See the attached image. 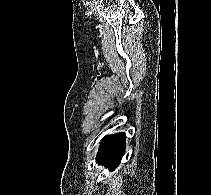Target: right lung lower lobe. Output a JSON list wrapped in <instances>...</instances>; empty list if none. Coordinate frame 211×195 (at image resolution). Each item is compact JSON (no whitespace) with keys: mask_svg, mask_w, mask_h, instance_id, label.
I'll use <instances>...</instances> for the list:
<instances>
[{"mask_svg":"<svg viewBox=\"0 0 211 195\" xmlns=\"http://www.w3.org/2000/svg\"><path fill=\"white\" fill-rule=\"evenodd\" d=\"M125 133H117L105 137L100 145L97 153L96 162L99 165L109 167L114 170L120 163L122 156L125 152L126 146Z\"/></svg>","mask_w":211,"mask_h":195,"instance_id":"obj_1","label":"right lung lower lobe"}]
</instances>
